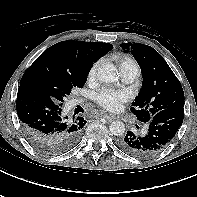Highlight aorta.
Instances as JSON below:
<instances>
[{
    "instance_id": "obj_1",
    "label": "aorta",
    "mask_w": 197,
    "mask_h": 197,
    "mask_svg": "<svg viewBox=\"0 0 197 197\" xmlns=\"http://www.w3.org/2000/svg\"><path fill=\"white\" fill-rule=\"evenodd\" d=\"M97 77L101 82L114 83L118 81L119 75L113 64L106 63L98 68ZM109 129L112 135L122 136L125 132V125L122 121H113Z\"/></svg>"
}]
</instances>
